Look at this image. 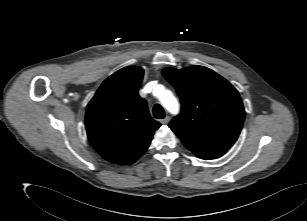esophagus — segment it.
<instances>
[{"instance_id":"esophagus-1","label":"esophagus","mask_w":307,"mask_h":221,"mask_svg":"<svg viewBox=\"0 0 307 221\" xmlns=\"http://www.w3.org/2000/svg\"><path fill=\"white\" fill-rule=\"evenodd\" d=\"M169 120H170V117L166 116L165 118L161 119L160 122L161 124H168Z\"/></svg>"}]
</instances>
